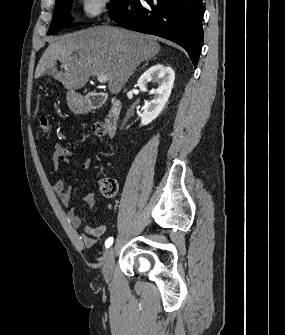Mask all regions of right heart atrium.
I'll use <instances>...</instances> for the list:
<instances>
[{
	"label": "right heart atrium",
	"instance_id": "d8ad5b80",
	"mask_svg": "<svg viewBox=\"0 0 285 335\" xmlns=\"http://www.w3.org/2000/svg\"><path fill=\"white\" fill-rule=\"evenodd\" d=\"M104 3L102 1H86L82 4L80 9V15L82 18L88 19L98 15Z\"/></svg>",
	"mask_w": 285,
	"mask_h": 335
}]
</instances>
